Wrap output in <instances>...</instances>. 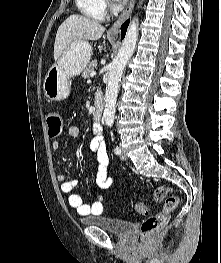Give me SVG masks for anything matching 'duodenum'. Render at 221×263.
Masks as SVG:
<instances>
[{
    "mask_svg": "<svg viewBox=\"0 0 221 263\" xmlns=\"http://www.w3.org/2000/svg\"><path fill=\"white\" fill-rule=\"evenodd\" d=\"M103 106H104L103 97L100 93H97L95 95V112L93 116V124L97 130L102 129L101 118H102Z\"/></svg>",
    "mask_w": 221,
    "mask_h": 263,
    "instance_id": "410a0bca",
    "label": "duodenum"
}]
</instances>
